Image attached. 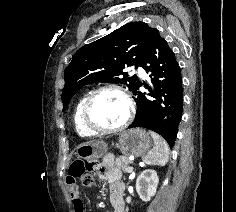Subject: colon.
<instances>
[{
	"label": "colon",
	"mask_w": 236,
	"mask_h": 212,
	"mask_svg": "<svg viewBox=\"0 0 236 212\" xmlns=\"http://www.w3.org/2000/svg\"><path fill=\"white\" fill-rule=\"evenodd\" d=\"M71 175H78L83 186L91 187L95 182V166L89 162H76L72 166Z\"/></svg>",
	"instance_id": "5ec220e1"
}]
</instances>
